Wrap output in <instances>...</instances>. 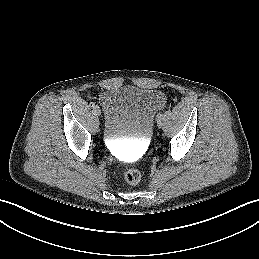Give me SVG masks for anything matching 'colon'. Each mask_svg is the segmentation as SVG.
I'll return each instance as SVG.
<instances>
[{
  "label": "colon",
  "mask_w": 259,
  "mask_h": 259,
  "mask_svg": "<svg viewBox=\"0 0 259 259\" xmlns=\"http://www.w3.org/2000/svg\"><path fill=\"white\" fill-rule=\"evenodd\" d=\"M122 179L126 184L136 186L141 181V173L137 169L131 168L123 172Z\"/></svg>",
  "instance_id": "colon-1"
}]
</instances>
